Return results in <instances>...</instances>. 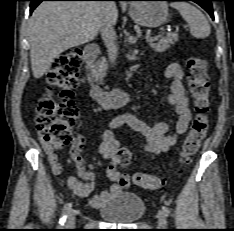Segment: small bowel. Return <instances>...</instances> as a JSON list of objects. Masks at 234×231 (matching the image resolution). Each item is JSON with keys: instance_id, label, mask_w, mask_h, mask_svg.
I'll return each mask as SVG.
<instances>
[{"instance_id": "small-bowel-1", "label": "small bowel", "mask_w": 234, "mask_h": 231, "mask_svg": "<svg viewBox=\"0 0 234 231\" xmlns=\"http://www.w3.org/2000/svg\"><path fill=\"white\" fill-rule=\"evenodd\" d=\"M165 75L171 82V93L165 97V102L173 107L178 114L175 131L171 134H167L170 125L165 120L150 126L132 114H124L112 119L108 124V128L103 132L99 146L100 155L108 163L106 176L111 182L108 189L101 193L94 194L95 174L85 167L84 159L81 156V151L85 143L84 138L82 136H77L74 139L71 148V159L77 167L78 178L74 176L67 177L66 185L77 196L90 198V205L92 207L98 208L103 206L106 202L119 194L128 184V177L118 171L119 143L114 136V129L123 125L129 126L141 135L144 140V149L152 154H160L168 151L177 144L179 137L188 130L192 120V112L189 108V100L185 94V88L182 83V69L176 63L170 64L165 71ZM43 145L48 154L52 172L55 175H61L62 165L58 156L53 152L48 143L44 142Z\"/></svg>"}]
</instances>
